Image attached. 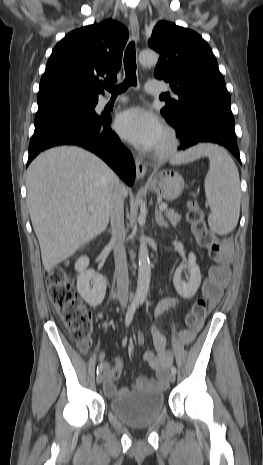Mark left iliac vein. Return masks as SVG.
<instances>
[{"mask_svg": "<svg viewBox=\"0 0 263 465\" xmlns=\"http://www.w3.org/2000/svg\"><path fill=\"white\" fill-rule=\"evenodd\" d=\"M175 380H176V375H175V373H172V372H171L170 375H169V381H170L171 383H174Z\"/></svg>", "mask_w": 263, "mask_h": 465, "instance_id": "obj_1", "label": "left iliac vein"}]
</instances>
